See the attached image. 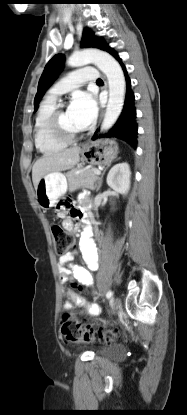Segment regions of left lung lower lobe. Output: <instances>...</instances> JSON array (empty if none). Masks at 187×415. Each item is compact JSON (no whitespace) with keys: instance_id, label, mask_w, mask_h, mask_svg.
<instances>
[{"instance_id":"left-lung-lower-lobe-1","label":"left lung lower lobe","mask_w":187,"mask_h":415,"mask_svg":"<svg viewBox=\"0 0 187 415\" xmlns=\"http://www.w3.org/2000/svg\"><path fill=\"white\" fill-rule=\"evenodd\" d=\"M108 53H110L118 62L120 63L125 79H126V96H125V102L123 106V110L121 112L120 117L115 122V124L112 126L111 129L108 130L107 133L104 135H97L98 130L95 132L93 136V140L97 139L98 137H115L122 139L126 142H128L132 147L136 148L137 146V124L135 122L136 118V110L134 107V93L131 89V82L127 75V71L125 66L123 65L121 59L119 58L118 54L110 47H107L105 49Z\"/></svg>"}]
</instances>
